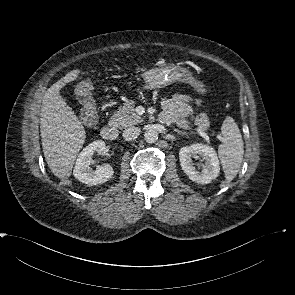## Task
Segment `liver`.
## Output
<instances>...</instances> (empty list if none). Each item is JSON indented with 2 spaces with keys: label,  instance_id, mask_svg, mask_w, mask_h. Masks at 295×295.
I'll return each instance as SVG.
<instances>
[{
  "label": "liver",
  "instance_id": "liver-1",
  "mask_svg": "<svg viewBox=\"0 0 295 295\" xmlns=\"http://www.w3.org/2000/svg\"><path fill=\"white\" fill-rule=\"evenodd\" d=\"M80 70H72L47 89L41 106L40 132L48 167L59 179L71 175L85 138V129L60 90L77 79Z\"/></svg>",
  "mask_w": 295,
  "mask_h": 295
}]
</instances>
